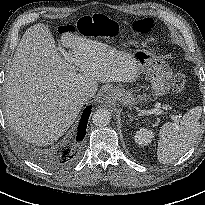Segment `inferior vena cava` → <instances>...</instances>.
I'll return each instance as SVG.
<instances>
[{"instance_id":"obj_1","label":"inferior vena cava","mask_w":205,"mask_h":205,"mask_svg":"<svg viewBox=\"0 0 205 205\" xmlns=\"http://www.w3.org/2000/svg\"><path fill=\"white\" fill-rule=\"evenodd\" d=\"M91 96L92 94L88 91H79L75 95V100L80 104H84Z\"/></svg>"}]
</instances>
